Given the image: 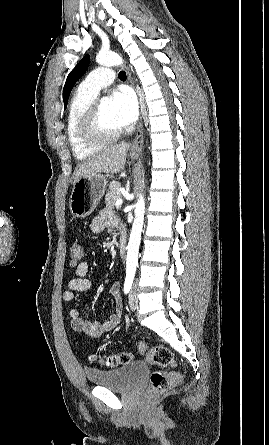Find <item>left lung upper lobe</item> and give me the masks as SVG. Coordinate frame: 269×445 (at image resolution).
Segmentation results:
<instances>
[{"label": "left lung upper lobe", "instance_id": "5c2ea615", "mask_svg": "<svg viewBox=\"0 0 269 445\" xmlns=\"http://www.w3.org/2000/svg\"><path fill=\"white\" fill-rule=\"evenodd\" d=\"M89 63H90L89 55L84 56L83 59L80 61V63L77 64L67 76L63 88V101L65 109L67 107L68 98L72 88L74 87L75 83L84 75V73L88 69Z\"/></svg>", "mask_w": 269, "mask_h": 445}]
</instances>
